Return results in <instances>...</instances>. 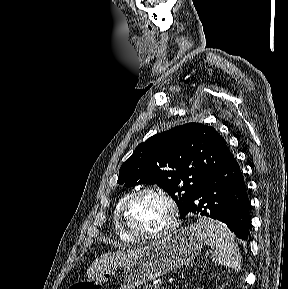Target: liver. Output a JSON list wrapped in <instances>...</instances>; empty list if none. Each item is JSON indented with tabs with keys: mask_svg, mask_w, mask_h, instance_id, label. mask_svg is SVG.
<instances>
[{
	"mask_svg": "<svg viewBox=\"0 0 288 289\" xmlns=\"http://www.w3.org/2000/svg\"><path fill=\"white\" fill-rule=\"evenodd\" d=\"M144 248L134 250L115 251L103 254L99 259H96L88 268V276L94 278L104 272L110 271L113 268L127 264L128 262L138 258Z\"/></svg>",
	"mask_w": 288,
	"mask_h": 289,
	"instance_id": "1",
	"label": "liver"
}]
</instances>
